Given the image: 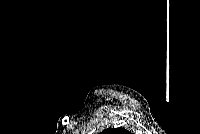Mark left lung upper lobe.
<instances>
[{
	"mask_svg": "<svg viewBox=\"0 0 200 134\" xmlns=\"http://www.w3.org/2000/svg\"><path fill=\"white\" fill-rule=\"evenodd\" d=\"M101 134H130V132L123 128H108L103 130Z\"/></svg>",
	"mask_w": 200,
	"mask_h": 134,
	"instance_id": "1",
	"label": "left lung upper lobe"
}]
</instances>
